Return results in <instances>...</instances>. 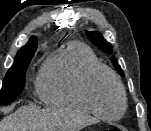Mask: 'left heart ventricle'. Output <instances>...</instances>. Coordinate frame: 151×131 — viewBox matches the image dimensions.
<instances>
[{
  "mask_svg": "<svg viewBox=\"0 0 151 131\" xmlns=\"http://www.w3.org/2000/svg\"><path fill=\"white\" fill-rule=\"evenodd\" d=\"M92 94L97 108L109 116L117 115L122 106L121 96L110 76L99 74L93 81Z\"/></svg>",
  "mask_w": 151,
  "mask_h": 131,
  "instance_id": "1",
  "label": "left heart ventricle"
}]
</instances>
